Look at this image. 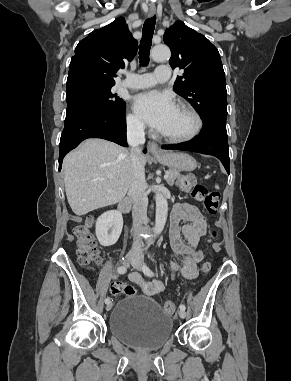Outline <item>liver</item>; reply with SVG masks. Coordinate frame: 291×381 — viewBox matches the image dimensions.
<instances>
[{
    "label": "liver",
    "mask_w": 291,
    "mask_h": 381,
    "mask_svg": "<svg viewBox=\"0 0 291 381\" xmlns=\"http://www.w3.org/2000/svg\"><path fill=\"white\" fill-rule=\"evenodd\" d=\"M130 151L103 139H87L63 160L66 196L82 216L120 202L131 182ZM145 166L146 156L142 155Z\"/></svg>",
    "instance_id": "1"
}]
</instances>
